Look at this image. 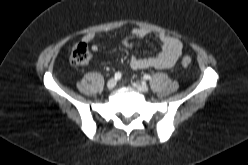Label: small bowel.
<instances>
[{"instance_id": "small-bowel-1", "label": "small bowel", "mask_w": 248, "mask_h": 165, "mask_svg": "<svg viewBox=\"0 0 248 165\" xmlns=\"http://www.w3.org/2000/svg\"><path fill=\"white\" fill-rule=\"evenodd\" d=\"M150 34V31L137 27L131 30L130 34L124 38L123 43L127 47H131L133 45L134 39H143ZM95 35L93 33H88L84 35L82 41L86 44H90L93 42ZM157 38L161 43L160 52L156 56L140 58L137 56H131L129 60V66L133 70H144L149 68L155 69H166L171 68L182 52V43L179 39L166 35V34H158ZM102 44H94L92 49L97 51L100 48H103Z\"/></svg>"}]
</instances>
